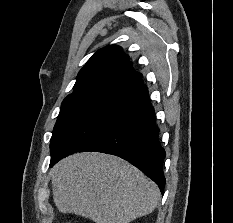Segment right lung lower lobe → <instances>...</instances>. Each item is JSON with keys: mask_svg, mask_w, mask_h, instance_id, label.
I'll return each instance as SVG.
<instances>
[{"mask_svg": "<svg viewBox=\"0 0 233 223\" xmlns=\"http://www.w3.org/2000/svg\"><path fill=\"white\" fill-rule=\"evenodd\" d=\"M122 112L77 152L97 151L119 156L139 168L164 191L163 160L165 151L158 141L154 109L148 90L140 84L123 93ZM68 153H51L53 166Z\"/></svg>", "mask_w": 233, "mask_h": 223, "instance_id": "right-lung-lower-lobe-1", "label": "right lung lower lobe"}]
</instances>
